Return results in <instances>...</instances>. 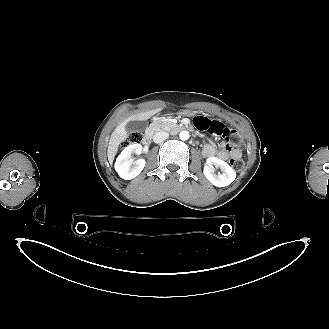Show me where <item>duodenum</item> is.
I'll use <instances>...</instances> for the list:
<instances>
[{
    "label": "duodenum",
    "mask_w": 329,
    "mask_h": 329,
    "mask_svg": "<svg viewBox=\"0 0 329 329\" xmlns=\"http://www.w3.org/2000/svg\"><path fill=\"white\" fill-rule=\"evenodd\" d=\"M183 128L188 129V127H183ZM151 139H152V133L147 132L146 135L143 138V144L144 145H149L151 143Z\"/></svg>",
    "instance_id": "1"
}]
</instances>
